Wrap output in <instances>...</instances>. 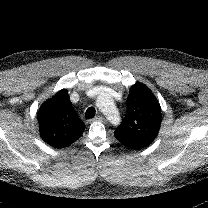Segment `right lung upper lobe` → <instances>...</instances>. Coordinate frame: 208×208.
<instances>
[{
  "instance_id": "obj_1",
  "label": "right lung upper lobe",
  "mask_w": 208,
  "mask_h": 208,
  "mask_svg": "<svg viewBox=\"0 0 208 208\" xmlns=\"http://www.w3.org/2000/svg\"><path fill=\"white\" fill-rule=\"evenodd\" d=\"M41 138L54 148L74 143L85 130V125L72 107L66 89L46 100L37 113Z\"/></svg>"
}]
</instances>
